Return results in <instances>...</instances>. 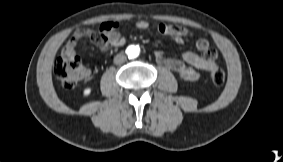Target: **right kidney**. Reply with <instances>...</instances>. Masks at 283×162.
Instances as JSON below:
<instances>
[{
  "mask_svg": "<svg viewBox=\"0 0 283 162\" xmlns=\"http://www.w3.org/2000/svg\"><path fill=\"white\" fill-rule=\"evenodd\" d=\"M90 93H91V88H86V89H84V91H83V95H84V96H88Z\"/></svg>",
  "mask_w": 283,
  "mask_h": 162,
  "instance_id": "obj_1",
  "label": "right kidney"
}]
</instances>
